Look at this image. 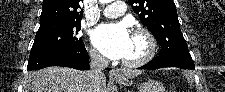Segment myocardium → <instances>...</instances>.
Wrapping results in <instances>:
<instances>
[{
	"instance_id": "myocardium-1",
	"label": "myocardium",
	"mask_w": 225,
	"mask_h": 92,
	"mask_svg": "<svg viewBox=\"0 0 225 92\" xmlns=\"http://www.w3.org/2000/svg\"><path fill=\"white\" fill-rule=\"evenodd\" d=\"M133 35L142 37L147 46L146 53L137 60H123V65L130 68H136L147 64L156 54L157 43L153 34L144 27H138L133 30Z\"/></svg>"
}]
</instances>
